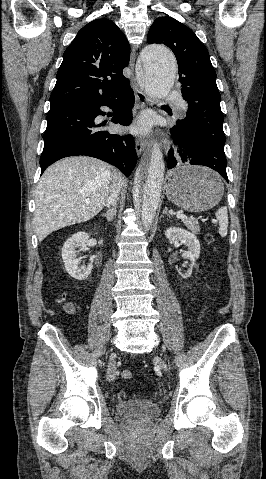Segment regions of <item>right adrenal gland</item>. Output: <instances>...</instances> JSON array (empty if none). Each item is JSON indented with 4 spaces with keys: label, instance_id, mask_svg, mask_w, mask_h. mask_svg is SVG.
<instances>
[{
    "label": "right adrenal gland",
    "instance_id": "right-adrenal-gland-1",
    "mask_svg": "<svg viewBox=\"0 0 266 479\" xmlns=\"http://www.w3.org/2000/svg\"><path fill=\"white\" fill-rule=\"evenodd\" d=\"M115 215H116V207H112L106 213L101 214V216H104L109 222L113 220Z\"/></svg>",
    "mask_w": 266,
    "mask_h": 479
}]
</instances>
